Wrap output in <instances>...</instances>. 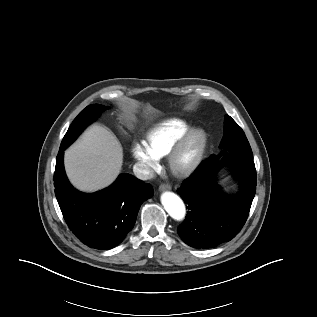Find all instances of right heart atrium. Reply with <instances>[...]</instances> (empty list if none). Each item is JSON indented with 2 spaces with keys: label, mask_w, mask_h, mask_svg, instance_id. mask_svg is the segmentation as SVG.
<instances>
[{
  "label": "right heart atrium",
  "mask_w": 317,
  "mask_h": 317,
  "mask_svg": "<svg viewBox=\"0 0 317 317\" xmlns=\"http://www.w3.org/2000/svg\"><path fill=\"white\" fill-rule=\"evenodd\" d=\"M132 155L144 176L150 175L159 166V158L145 143L135 142L132 146Z\"/></svg>",
  "instance_id": "obj_1"
}]
</instances>
